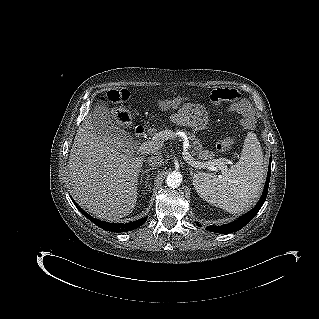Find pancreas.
<instances>
[{
	"label": "pancreas",
	"instance_id": "pancreas-1",
	"mask_svg": "<svg viewBox=\"0 0 319 319\" xmlns=\"http://www.w3.org/2000/svg\"><path fill=\"white\" fill-rule=\"evenodd\" d=\"M156 129L152 128L148 132L150 136L155 137L156 136ZM188 140L190 142V149L191 154L195 156L196 159L199 160H208L207 162L215 161L214 156L215 154L213 152H210L208 150H205L202 145L199 143V140L195 138L194 135H191L190 133H187ZM163 139L159 140V146L162 145Z\"/></svg>",
	"mask_w": 319,
	"mask_h": 319
}]
</instances>
